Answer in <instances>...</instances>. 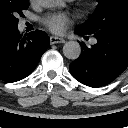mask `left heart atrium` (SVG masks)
<instances>
[{"instance_id":"obj_1","label":"left heart atrium","mask_w":128,"mask_h":128,"mask_svg":"<svg viewBox=\"0 0 128 128\" xmlns=\"http://www.w3.org/2000/svg\"><path fill=\"white\" fill-rule=\"evenodd\" d=\"M43 25L53 33H62L71 24V18L64 13L48 14L42 18Z\"/></svg>"}]
</instances>
